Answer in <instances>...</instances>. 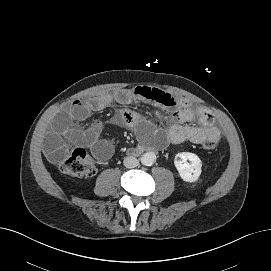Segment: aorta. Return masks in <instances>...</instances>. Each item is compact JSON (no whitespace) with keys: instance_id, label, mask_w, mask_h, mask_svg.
I'll return each mask as SVG.
<instances>
[{"instance_id":"1","label":"aorta","mask_w":271,"mask_h":271,"mask_svg":"<svg viewBox=\"0 0 271 271\" xmlns=\"http://www.w3.org/2000/svg\"><path fill=\"white\" fill-rule=\"evenodd\" d=\"M156 156L153 152H148L142 155L141 163L145 166H151L155 163Z\"/></svg>"}]
</instances>
